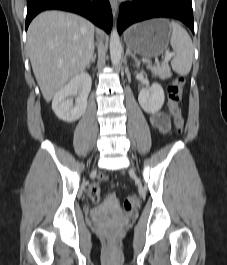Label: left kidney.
<instances>
[{
    "mask_svg": "<svg viewBox=\"0 0 227 265\" xmlns=\"http://www.w3.org/2000/svg\"><path fill=\"white\" fill-rule=\"evenodd\" d=\"M164 91L160 84L154 83L150 88L142 89L138 101L142 109L147 113L158 112L164 104Z\"/></svg>",
    "mask_w": 227,
    "mask_h": 265,
    "instance_id": "obj_1",
    "label": "left kidney"
}]
</instances>
